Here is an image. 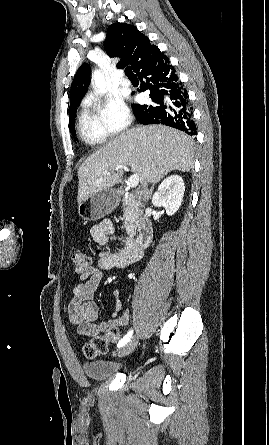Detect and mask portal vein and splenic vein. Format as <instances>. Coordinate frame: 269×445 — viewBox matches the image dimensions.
Masks as SVG:
<instances>
[{
  "instance_id": "obj_1",
  "label": "portal vein and splenic vein",
  "mask_w": 269,
  "mask_h": 445,
  "mask_svg": "<svg viewBox=\"0 0 269 445\" xmlns=\"http://www.w3.org/2000/svg\"><path fill=\"white\" fill-rule=\"evenodd\" d=\"M116 171L118 170H124V171H129V168L125 165H119L115 168ZM110 173H107V175H109ZM139 184V176L137 174H133L130 179H129V186L131 188H135L137 187Z\"/></svg>"
}]
</instances>
